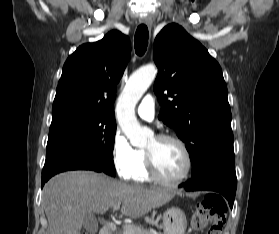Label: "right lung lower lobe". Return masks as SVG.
Returning <instances> with one entry per match:
<instances>
[{
	"label": "right lung lower lobe",
	"instance_id": "1",
	"mask_svg": "<svg viewBox=\"0 0 279 234\" xmlns=\"http://www.w3.org/2000/svg\"><path fill=\"white\" fill-rule=\"evenodd\" d=\"M78 169L103 172L102 168L92 162L90 159L78 154H67L60 156L50 163L44 165L42 171V186L49 178L57 173Z\"/></svg>",
	"mask_w": 279,
	"mask_h": 234
}]
</instances>
